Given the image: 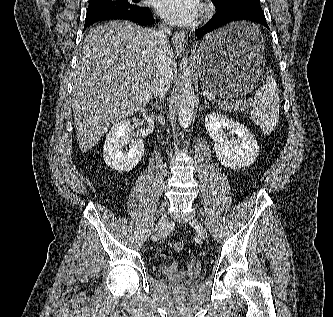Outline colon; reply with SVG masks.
<instances>
[{
    "mask_svg": "<svg viewBox=\"0 0 333 317\" xmlns=\"http://www.w3.org/2000/svg\"><path fill=\"white\" fill-rule=\"evenodd\" d=\"M185 249V244L182 241H178L174 244L175 252L181 253Z\"/></svg>",
    "mask_w": 333,
    "mask_h": 317,
    "instance_id": "1",
    "label": "colon"
}]
</instances>
